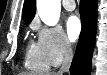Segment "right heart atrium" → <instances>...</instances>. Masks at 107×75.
Wrapping results in <instances>:
<instances>
[{
	"mask_svg": "<svg viewBox=\"0 0 107 75\" xmlns=\"http://www.w3.org/2000/svg\"><path fill=\"white\" fill-rule=\"evenodd\" d=\"M34 29L40 52L49 66H58L72 55V45L60 27L34 23Z\"/></svg>",
	"mask_w": 107,
	"mask_h": 75,
	"instance_id": "obj_1",
	"label": "right heart atrium"
}]
</instances>
